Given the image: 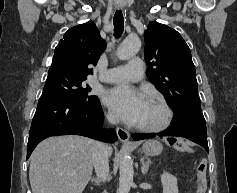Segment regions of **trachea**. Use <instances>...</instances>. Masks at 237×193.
Instances as JSON below:
<instances>
[{
	"label": "trachea",
	"mask_w": 237,
	"mask_h": 193,
	"mask_svg": "<svg viewBox=\"0 0 237 193\" xmlns=\"http://www.w3.org/2000/svg\"><path fill=\"white\" fill-rule=\"evenodd\" d=\"M113 24H114V36L116 38H119L124 31V21H123V14L121 10L116 11L113 18Z\"/></svg>",
	"instance_id": "3493384b"
}]
</instances>
